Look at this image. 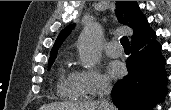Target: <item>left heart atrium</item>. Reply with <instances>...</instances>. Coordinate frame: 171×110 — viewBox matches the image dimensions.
I'll return each instance as SVG.
<instances>
[{"mask_svg":"<svg viewBox=\"0 0 171 110\" xmlns=\"http://www.w3.org/2000/svg\"><path fill=\"white\" fill-rule=\"evenodd\" d=\"M108 74L112 77V78H117L120 77L123 74V66L121 63L119 62H111L108 65Z\"/></svg>","mask_w":171,"mask_h":110,"instance_id":"1","label":"left heart atrium"}]
</instances>
